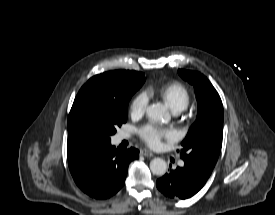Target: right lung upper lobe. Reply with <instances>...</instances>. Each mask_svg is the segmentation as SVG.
<instances>
[{"label":"right lung upper lobe","mask_w":275,"mask_h":215,"mask_svg":"<svg viewBox=\"0 0 275 215\" xmlns=\"http://www.w3.org/2000/svg\"><path fill=\"white\" fill-rule=\"evenodd\" d=\"M137 73L136 71H125V70H119V71H110L103 74H100L98 76L104 77L105 80L103 82V85L107 89H117L121 87V85L124 83L127 77Z\"/></svg>","instance_id":"obj_1"}]
</instances>
